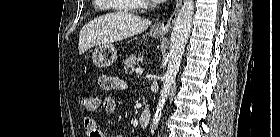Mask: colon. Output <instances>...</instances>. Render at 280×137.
Segmentation results:
<instances>
[{
	"label": "colon",
	"instance_id": "obj_1",
	"mask_svg": "<svg viewBox=\"0 0 280 137\" xmlns=\"http://www.w3.org/2000/svg\"><path fill=\"white\" fill-rule=\"evenodd\" d=\"M84 108L89 112H94L98 108V99L93 95L85 94L81 97Z\"/></svg>",
	"mask_w": 280,
	"mask_h": 137
}]
</instances>
